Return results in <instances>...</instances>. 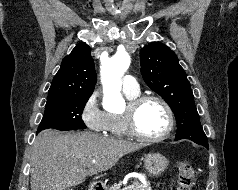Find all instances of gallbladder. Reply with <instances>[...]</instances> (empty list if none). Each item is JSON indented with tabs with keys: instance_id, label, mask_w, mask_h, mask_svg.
<instances>
[{
	"instance_id": "gallbladder-1",
	"label": "gallbladder",
	"mask_w": 238,
	"mask_h": 190,
	"mask_svg": "<svg viewBox=\"0 0 238 190\" xmlns=\"http://www.w3.org/2000/svg\"><path fill=\"white\" fill-rule=\"evenodd\" d=\"M64 190H73L72 188L66 187Z\"/></svg>"
}]
</instances>
